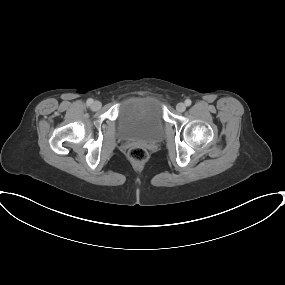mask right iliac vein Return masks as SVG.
<instances>
[{
    "mask_svg": "<svg viewBox=\"0 0 285 285\" xmlns=\"http://www.w3.org/2000/svg\"><path fill=\"white\" fill-rule=\"evenodd\" d=\"M101 108V103L99 101H95L93 104H92V109L93 110H98Z\"/></svg>",
    "mask_w": 285,
    "mask_h": 285,
    "instance_id": "obj_1",
    "label": "right iliac vein"
}]
</instances>
